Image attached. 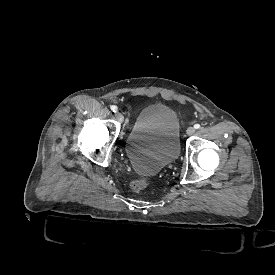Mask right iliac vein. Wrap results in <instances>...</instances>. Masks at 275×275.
I'll return each mask as SVG.
<instances>
[{"label": "right iliac vein", "instance_id": "63e3f726", "mask_svg": "<svg viewBox=\"0 0 275 275\" xmlns=\"http://www.w3.org/2000/svg\"><path fill=\"white\" fill-rule=\"evenodd\" d=\"M116 118L120 122H123V120H124L123 115L121 113H119V112L116 113Z\"/></svg>", "mask_w": 275, "mask_h": 275}]
</instances>
